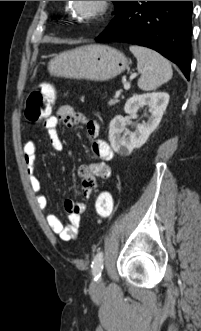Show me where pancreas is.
Listing matches in <instances>:
<instances>
[{
    "label": "pancreas",
    "instance_id": "pancreas-1",
    "mask_svg": "<svg viewBox=\"0 0 201 331\" xmlns=\"http://www.w3.org/2000/svg\"><path fill=\"white\" fill-rule=\"evenodd\" d=\"M119 102L118 96H115L114 98L110 99L108 102V105H114Z\"/></svg>",
    "mask_w": 201,
    "mask_h": 331
}]
</instances>
